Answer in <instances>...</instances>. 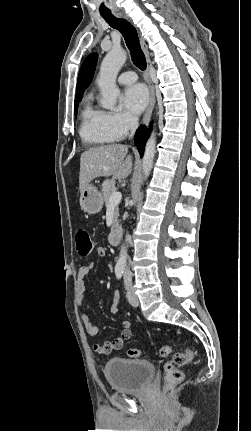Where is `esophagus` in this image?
Masks as SVG:
<instances>
[{
    "mask_svg": "<svg viewBox=\"0 0 251 431\" xmlns=\"http://www.w3.org/2000/svg\"><path fill=\"white\" fill-rule=\"evenodd\" d=\"M140 45H141V48H142V50H143V52H144V54L146 56L148 84H149V91H150L149 104H148V107H147V109L145 111L144 118H143V124L147 125L149 123V120L151 118V113H152V110H153L154 105H155V91H154L153 83H152L151 78H150V71H151V68H152L151 59H150V56H149L148 48H147V46H146V44H145V42H144L143 39H140Z\"/></svg>",
    "mask_w": 251,
    "mask_h": 431,
    "instance_id": "34e87169",
    "label": "esophagus"
}]
</instances>
